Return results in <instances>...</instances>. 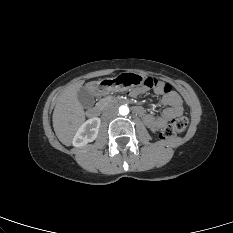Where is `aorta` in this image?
<instances>
[{"mask_svg": "<svg viewBox=\"0 0 233 233\" xmlns=\"http://www.w3.org/2000/svg\"><path fill=\"white\" fill-rule=\"evenodd\" d=\"M129 113V108L126 105H122L119 107V114L122 116H126Z\"/></svg>", "mask_w": 233, "mask_h": 233, "instance_id": "obj_1", "label": "aorta"}]
</instances>
